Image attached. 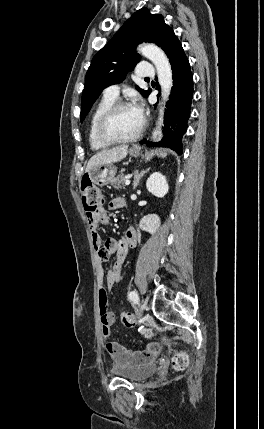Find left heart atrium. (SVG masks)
<instances>
[{
	"label": "left heart atrium",
	"mask_w": 264,
	"mask_h": 429,
	"mask_svg": "<svg viewBox=\"0 0 264 429\" xmlns=\"http://www.w3.org/2000/svg\"><path fill=\"white\" fill-rule=\"evenodd\" d=\"M135 113L137 114V116L142 120L143 119V114H144V109L142 104L137 103L134 107H133Z\"/></svg>",
	"instance_id": "1"
}]
</instances>
